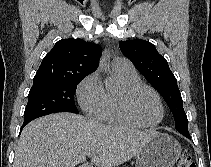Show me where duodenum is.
Returning a JSON list of instances; mask_svg holds the SVG:
<instances>
[{
    "instance_id": "duodenum-1",
    "label": "duodenum",
    "mask_w": 211,
    "mask_h": 167,
    "mask_svg": "<svg viewBox=\"0 0 211 167\" xmlns=\"http://www.w3.org/2000/svg\"><path fill=\"white\" fill-rule=\"evenodd\" d=\"M80 167H89V166L83 165V166H80Z\"/></svg>"
}]
</instances>
